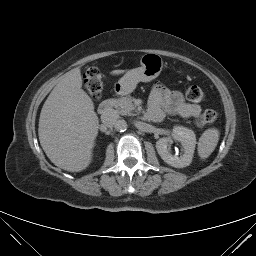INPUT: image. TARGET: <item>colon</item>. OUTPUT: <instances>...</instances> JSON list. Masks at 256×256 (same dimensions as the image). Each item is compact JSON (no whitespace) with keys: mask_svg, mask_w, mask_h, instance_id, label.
Wrapping results in <instances>:
<instances>
[{"mask_svg":"<svg viewBox=\"0 0 256 256\" xmlns=\"http://www.w3.org/2000/svg\"><path fill=\"white\" fill-rule=\"evenodd\" d=\"M84 87L88 94L94 98L98 99L103 91V76L100 69L97 66H90L84 74ZM186 98L194 103H199L204 98L203 91L198 86H191L186 90ZM218 112L213 109L205 110L200 116L195 120V125L197 127H203L206 124L215 122L218 119Z\"/></svg>","mask_w":256,"mask_h":256,"instance_id":"obj_1","label":"colon"}]
</instances>
